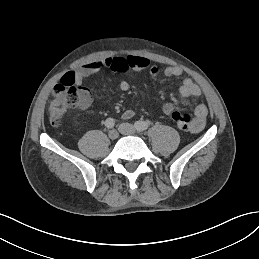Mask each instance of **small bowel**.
Listing matches in <instances>:
<instances>
[{
    "label": "small bowel",
    "instance_id": "obj_1",
    "mask_svg": "<svg viewBox=\"0 0 259 259\" xmlns=\"http://www.w3.org/2000/svg\"><path fill=\"white\" fill-rule=\"evenodd\" d=\"M148 70L150 75L155 77L159 70L156 66L151 65L148 58L144 56H127V57H108L102 60L87 63L81 68L73 71L76 84L83 83L90 76L100 74L105 71L124 72L127 70ZM182 74V70L177 66H167L164 69V75L167 77H178ZM120 89L124 92L130 89L127 81L120 83ZM179 93L184 104H187L191 98H196L201 95V90L191 79L185 78L182 80ZM174 110V105L167 102L163 105V112L167 115ZM208 115L206 105L199 104L194 110V117L191 120L189 130L191 133H199L203 130ZM134 116L133 110H126L122 117L130 119Z\"/></svg>",
    "mask_w": 259,
    "mask_h": 259
}]
</instances>
